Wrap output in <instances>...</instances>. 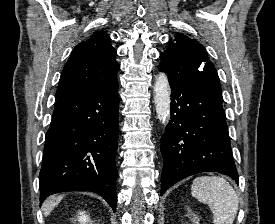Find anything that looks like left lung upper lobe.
<instances>
[{"instance_id":"obj_1","label":"left lung upper lobe","mask_w":275,"mask_h":224,"mask_svg":"<svg viewBox=\"0 0 275 224\" xmlns=\"http://www.w3.org/2000/svg\"><path fill=\"white\" fill-rule=\"evenodd\" d=\"M160 59L158 68L167 73L169 81L195 82L221 95L215 67L198 41L176 33L169 40L168 48L160 54Z\"/></svg>"}]
</instances>
